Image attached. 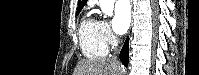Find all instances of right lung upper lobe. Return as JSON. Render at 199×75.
<instances>
[{"mask_svg": "<svg viewBox=\"0 0 199 75\" xmlns=\"http://www.w3.org/2000/svg\"><path fill=\"white\" fill-rule=\"evenodd\" d=\"M86 2L87 0H78L77 13H79L82 10Z\"/></svg>", "mask_w": 199, "mask_h": 75, "instance_id": "1", "label": "right lung upper lobe"}]
</instances>
